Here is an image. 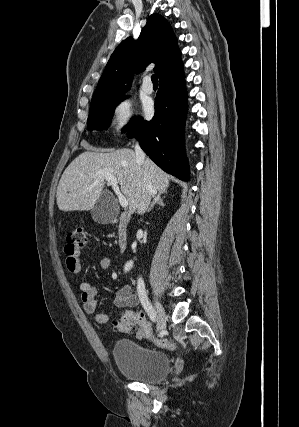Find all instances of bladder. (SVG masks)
Returning <instances> with one entry per match:
<instances>
[{
    "mask_svg": "<svg viewBox=\"0 0 299 427\" xmlns=\"http://www.w3.org/2000/svg\"><path fill=\"white\" fill-rule=\"evenodd\" d=\"M113 357L123 376L145 384L162 381L171 369L170 359L166 353L145 348L133 340L116 341L113 346Z\"/></svg>",
    "mask_w": 299,
    "mask_h": 427,
    "instance_id": "31cf9c89",
    "label": "bladder"
}]
</instances>
